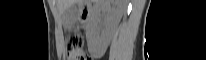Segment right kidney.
Returning a JSON list of instances; mask_svg holds the SVG:
<instances>
[{"instance_id": "right-kidney-1", "label": "right kidney", "mask_w": 206, "mask_h": 60, "mask_svg": "<svg viewBox=\"0 0 206 60\" xmlns=\"http://www.w3.org/2000/svg\"><path fill=\"white\" fill-rule=\"evenodd\" d=\"M101 12L105 14L103 23L100 18ZM121 15L122 7L118 0H102L96 4L89 29V43L92 47L99 50L107 48Z\"/></svg>"}]
</instances>
